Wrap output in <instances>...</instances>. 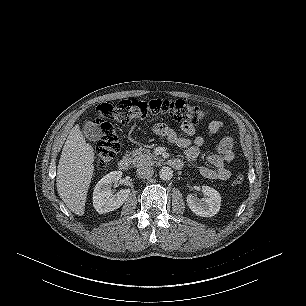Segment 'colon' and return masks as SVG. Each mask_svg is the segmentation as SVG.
Returning <instances> with one entry per match:
<instances>
[{
	"mask_svg": "<svg viewBox=\"0 0 306 306\" xmlns=\"http://www.w3.org/2000/svg\"><path fill=\"white\" fill-rule=\"evenodd\" d=\"M153 115H169L182 123L197 124L204 120L206 112L199 106L189 104L183 100H123L115 104L101 103L97 107L96 124L99 128L100 139L96 150L95 167L105 170L120 149L116 133V124H127L135 119H143ZM159 133L161 129L154 127ZM244 177L238 174L233 185L239 186Z\"/></svg>",
	"mask_w": 306,
	"mask_h": 306,
	"instance_id": "colon-1",
	"label": "colon"
}]
</instances>
